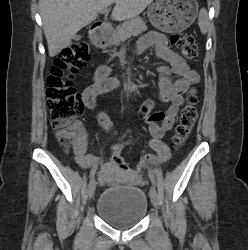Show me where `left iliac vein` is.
<instances>
[{"instance_id": "left-iliac-vein-1", "label": "left iliac vein", "mask_w": 248, "mask_h": 250, "mask_svg": "<svg viewBox=\"0 0 248 250\" xmlns=\"http://www.w3.org/2000/svg\"><path fill=\"white\" fill-rule=\"evenodd\" d=\"M150 199L154 207L158 206L159 195L155 189V187L150 188Z\"/></svg>"}]
</instances>
